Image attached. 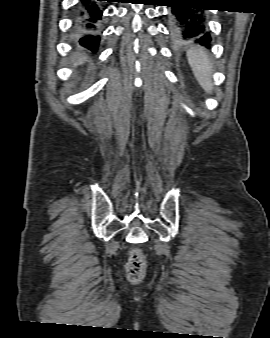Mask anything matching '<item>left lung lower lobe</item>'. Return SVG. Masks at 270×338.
I'll list each match as a JSON object with an SVG mask.
<instances>
[{
    "label": "left lung lower lobe",
    "instance_id": "obj_1",
    "mask_svg": "<svg viewBox=\"0 0 270 338\" xmlns=\"http://www.w3.org/2000/svg\"><path fill=\"white\" fill-rule=\"evenodd\" d=\"M169 7L170 31L172 39L177 43L195 42L207 46L211 42L205 25L204 13L187 0H173Z\"/></svg>",
    "mask_w": 270,
    "mask_h": 338
}]
</instances>
